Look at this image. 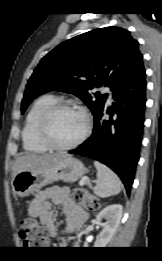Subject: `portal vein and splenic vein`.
Instances as JSON below:
<instances>
[{
	"mask_svg": "<svg viewBox=\"0 0 162 261\" xmlns=\"http://www.w3.org/2000/svg\"><path fill=\"white\" fill-rule=\"evenodd\" d=\"M84 184V179H82L81 181H80V185H83Z\"/></svg>",
	"mask_w": 162,
	"mask_h": 261,
	"instance_id": "obj_1",
	"label": "portal vein and splenic vein"
}]
</instances>
